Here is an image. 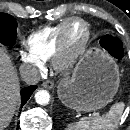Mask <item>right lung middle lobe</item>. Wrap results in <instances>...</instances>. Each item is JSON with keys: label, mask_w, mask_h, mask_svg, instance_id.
I'll list each match as a JSON object with an SVG mask.
<instances>
[{"label": "right lung middle lobe", "mask_w": 130, "mask_h": 130, "mask_svg": "<svg viewBox=\"0 0 130 130\" xmlns=\"http://www.w3.org/2000/svg\"><path fill=\"white\" fill-rule=\"evenodd\" d=\"M17 22L14 17L0 13V43L13 47L16 40Z\"/></svg>", "instance_id": "right-lung-middle-lobe-1"}]
</instances>
